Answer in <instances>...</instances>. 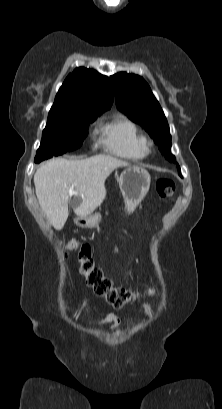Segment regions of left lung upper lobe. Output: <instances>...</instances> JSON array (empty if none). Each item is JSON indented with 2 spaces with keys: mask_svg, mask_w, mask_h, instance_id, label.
I'll list each match as a JSON object with an SVG mask.
<instances>
[{
  "mask_svg": "<svg viewBox=\"0 0 222 409\" xmlns=\"http://www.w3.org/2000/svg\"><path fill=\"white\" fill-rule=\"evenodd\" d=\"M110 79L119 110L142 125L158 144L162 154L170 162L176 163L175 157L170 152L171 136L167 120L147 82L138 75L125 72L117 73ZM177 169L181 175L178 164Z\"/></svg>",
  "mask_w": 222,
  "mask_h": 409,
  "instance_id": "5c2ea615",
  "label": "left lung upper lobe"
}]
</instances>
